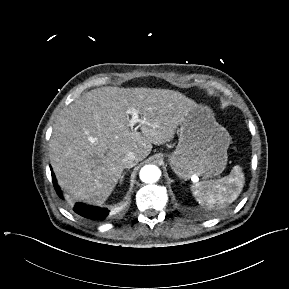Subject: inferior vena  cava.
Listing matches in <instances>:
<instances>
[{
	"label": "inferior vena cava",
	"mask_w": 289,
	"mask_h": 289,
	"mask_svg": "<svg viewBox=\"0 0 289 289\" xmlns=\"http://www.w3.org/2000/svg\"><path fill=\"white\" fill-rule=\"evenodd\" d=\"M140 161V159L132 152H129L125 155L123 159L124 168H132Z\"/></svg>",
	"instance_id": "1"
}]
</instances>
